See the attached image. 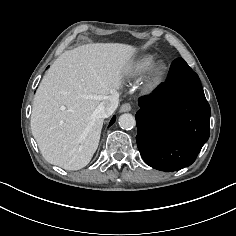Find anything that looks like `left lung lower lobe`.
<instances>
[{
    "label": "left lung lower lobe",
    "mask_w": 236,
    "mask_h": 236,
    "mask_svg": "<svg viewBox=\"0 0 236 236\" xmlns=\"http://www.w3.org/2000/svg\"><path fill=\"white\" fill-rule=\"evenodd\" d=\"M137 146L144 161L161 171L191 165L210 135V106L198 75L182 58L166 82L139 99Z\"/></svg>",
    "instance_id": "obj_1"
}]
</instances>
